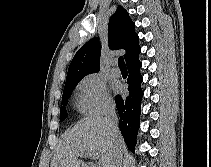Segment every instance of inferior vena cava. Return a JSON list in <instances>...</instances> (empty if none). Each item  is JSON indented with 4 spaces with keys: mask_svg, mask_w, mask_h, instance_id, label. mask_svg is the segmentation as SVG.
Returning a JSON list of instances; mask_svg holds the SVG:
<instances>
[{
    "mask_svg": "<svg viewBox=\"0 0 211 167\" xmlns=\"http://www.w3.org/2000/svg\"><path fill=\"white\" fill-rule=\"evenodd\" d=\"M105 119H106V123L108 125L109 131L113 135H116L119 129H118V117L116 115L114 105L108 107ZM121 163H122V152L120 150H117L115 154V159L111 167H121Z\"/></svg>",
    "mask_w": 211,
    "mask_h": 167,
    "instance_id": "602c4592",
    "label": "inferior vena cava"
}]
</instances>
